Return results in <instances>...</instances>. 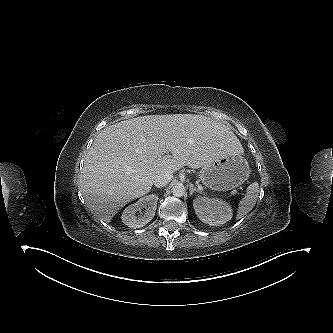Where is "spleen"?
Returning <instances> with one entry per match:
<instances>
[{"label":"spleen","instance_id":"spleen-1","mask_svg":"<svg viewBox=\"0 0 333 333\" xmlns=\"http://www.w3.org/2000/svg\"><path fill=\"white\" fill-rule=\"evenodd\" d=\"M259 194V184L254 182L247 187L246 195L242 198L238 205L237 219H241L247 215L255 206Z\"/></svg>","mask_w":333,"mask_h":333}]
</instances>
